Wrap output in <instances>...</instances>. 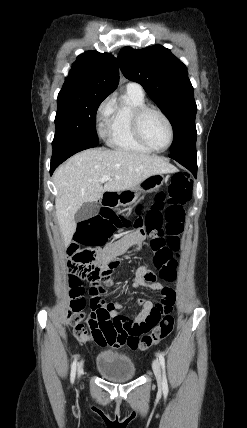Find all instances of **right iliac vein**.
I'll return each mask as SVG.
<instances>
[{"label": "right iliac vein", "mask_w": 247, "mask_h": 428, "mask_svg": "<svg viewBox=\"0 0 247 428\" xmlns=\"http://www.w3.org/2000/svg\"><path fill=\"white\" fill-rule=\"evenodd\" d=\"M82 373H83V362H81L80 365H79V368H78V377H80Z\"/></svg>", "instance_id": "obj_1"}]
</instances>
